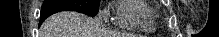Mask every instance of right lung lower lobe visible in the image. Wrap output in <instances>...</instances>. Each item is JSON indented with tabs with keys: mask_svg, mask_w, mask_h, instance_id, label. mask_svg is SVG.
I'll list each match as a JSON object with an SVG mask.
<instances>
[{
	"mask_svg": "<svg viewBox=\"0 0 219 37\" xmlns=\"http://www.w3.org/2000/svg\"><path fill=\"white\" fill-rule=\"evenodd\" d=\"M60 11H67V10H66V9H55V10H51V11H48V12L41 13L40 24H41L47 17H49L50 15H52V14H54V13H57V12H60Z\"/></svg>",
	"mask_w": 219,
	"mask_h": 37,
	"instance_id": "98d812e1",
	"label": "right lung lower lobe"
}]
</instances>
